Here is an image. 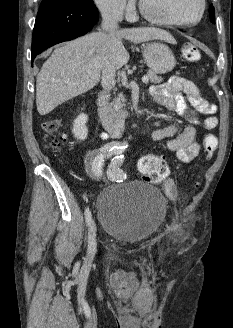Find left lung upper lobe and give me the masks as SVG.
I'll return each instance as SVG.
<instances>
[{
  "label": "left lung upper lobe",
  "mask_w": 233,
  "mask_h": 328,
  "mask_svg": "<svg viewBox=\"0 0 233 328\" xmlns=\"http://www.w3.org/2000/svg\"><path fill=\"white\" fill-rule=\"evenodd\" d=\"M209 10H210V20H211L212 23L215 24V22H214L215 12H214V8L212 7V5L210 6V9Z\"/></svg>",
  "instance_id": "5c2ea615"
}]
</instances>
